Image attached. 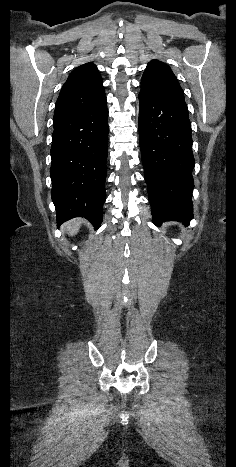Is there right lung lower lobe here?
<instances>
[{
	"label": "right lung lower lobe",
	"mask_w": 236,
	"mask_h": 467,
	"mask_svg": "<svg viewBox=\"0 0 236 467\" xmlns=\"http://www.w3.org/2000/svg\"><path fill=\"white\" fill-rule=\"evenodd\" d=\"M53 127L50 175L57 225L74 217H85L98 229L106 200V97L90 109L54 123Z\"/></svg>",
	"instance_id": "1"
}]
</instances>
